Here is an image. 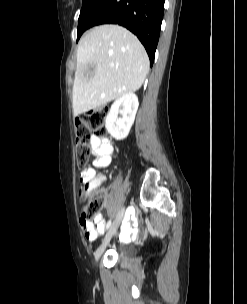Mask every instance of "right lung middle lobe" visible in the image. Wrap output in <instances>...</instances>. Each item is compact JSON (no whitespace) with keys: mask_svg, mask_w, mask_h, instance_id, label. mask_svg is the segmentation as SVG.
<instances>
[{"mask_svg":"<svg viewBox=\"0 0 247 304\" xmlns=\"http://www.w3.org/2000/svg\"><path fill=\"white\" fill-rule=\"evenodd\" d=\"M102 0H83L82 1V8L79 16V25L77 29V40L80 38V36L83 33V19L91 13V11L101 2Z\"/></svg>","mask_w":247,"mask_h":304,"instance_id":"right-lung-middle-lobe-1","label":"right lung middle lobe"}]
</instances>
